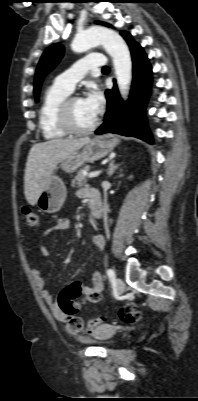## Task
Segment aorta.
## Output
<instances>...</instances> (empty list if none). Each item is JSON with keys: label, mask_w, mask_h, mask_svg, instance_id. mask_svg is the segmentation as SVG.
<instances>
[{"label": "aorta", "mask_w": 198, "mask_h": 401, "mask_svg": "<svg viewBox=\"0 0 198 401\" xmlns=\"http://www.w3.org/2000/svg\"><path fill=\"white\" fill-rule=\"evenodd\" d=\"M97 45H103L113 58L118 88L122 97L126 98L132 79V61L125 41L111 29L94 26L77 34L71 48L76 53H82Z\"/></svg>", "instance_id": "obj_1"}]
</instances>
